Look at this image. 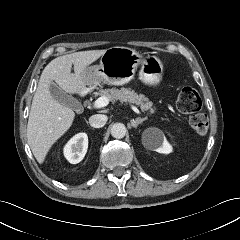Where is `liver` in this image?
<instances>
[{
  "label": "liver",
  "instance_id": "1",
  "mask_svg": "<svg viewBox=\"0 0 240 240\" xmlns=\"http://www.w3.org/2000/svg\"><path fill=\"white\" fill-rule=\"evenodd\" d=\"M105 50L75 52L53 59L43 70L34 94L27 124L28 144L36 160L42 164L52 145L71 127L75 113L60 104L50 94L55 81L65 92L77 94L86 91L89 82L88 66ZM74 65V73H71Z\"/></svg>",
  "mask_w": 240,
  "mask_h": 240
}]
</instances>
